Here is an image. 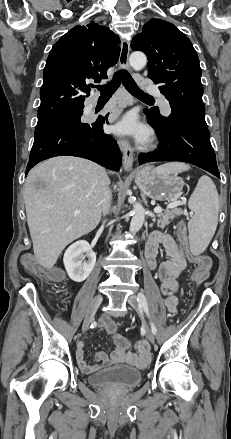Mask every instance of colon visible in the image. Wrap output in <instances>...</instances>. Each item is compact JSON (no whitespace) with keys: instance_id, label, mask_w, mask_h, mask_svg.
I'll return each mask as SVG.
<instances>
[{"instance_id":"1","label":"colon","mask_w":231,"mask_h":439,"mask_svg":"<svg viewBox=\"0 0 231 439\" xmlns=\"http://www.w3.org/2000/svg\"><path fill=\"white\" fill-rule=\"evenodd\" d=\"M178 233L182 243L187 248V235H186V227L184 223L179 224ZM190 258L196 266V270L194 272V279H193L194 284L204 285L205 282H207L209 279L208 272L212 265L211 258L207 255H198V256L190 255ZM23 264L24 267L32 274L45 277L50 281L58 282L61 281L64 277L63 271L61 269L52 268L46 271L43 268H41L32 257H26L23 260Z\"/></svg>"}]
</instances>
